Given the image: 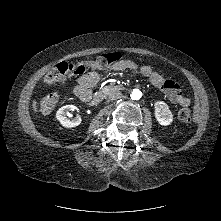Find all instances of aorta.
<instances>
[{"instance_id":"obj_1","label":"aorta","mask_w":221,"mask_h":221,"mask_svg":"<svg viewBox=\"0 0 221 221\" xmlns=\"http://www.w3.org/2000/svg\"><path fill=\"white\" fill-rule=\"evenodd\" d=\"M130 96L133 100H139L142 96V92L139 89H133Z\"/></svg>"}]
</instances>
